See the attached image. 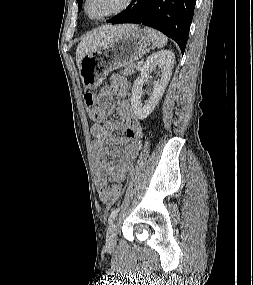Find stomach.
Returning a JSON list of instances; mask_svg holds the SVG:
<instances>
[{"label":"stomach","instance_id":"stomach-1","mask_svg":"<svg viewBox=\"0 0 253 285\" xmlns=\"http://www.w3.org/2000/svg\"><path fill=\"white\" fill-rule=\"evenodd\" d=\"M150 39L138 27L120 34L103 47L85 55L79 75L85 89L99 87L109 72L129 66L145 53Z\"/></svg>","mask_w":253,"mask_h":285}]
</instances>
